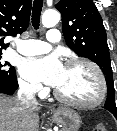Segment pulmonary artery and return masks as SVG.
Wrapping results in <instances>:
<instances>
[{"instance_id":"pulmonary-artery-1","label":"pulmonary artery","mask_w":117,"mask_h":131,"mask_svg":"<svg viewBox=\"0 0 117 131\" xmlns=\"http://www.w3.org/2000/svg\"><path fill=\"white\" fill-rule=\"evenodd\" d=\"M47 41L26 39L17 42V51L26 56H33L46 53L50 50V43H57L61 39L60 32L57 29H50L46 35Z\"/></svg>"}]
</instances>
